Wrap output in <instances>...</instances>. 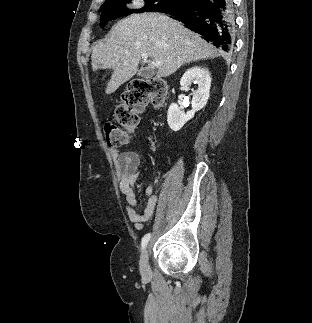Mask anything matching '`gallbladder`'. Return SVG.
Masks as SVG:
<instances>
[{"label": "gallbladder", "instance_id": "1", "mask_svg": "<svg viewBox=\"0 0 312 323\" xmlns=\"http://www.w3.org/2000/svg\"><path fill=\"white\" fill-rule=\"evenodd\" d=\"M154 74L155 70H152V68H142V70H139L137 76H142V78H152Z\"/></svg>", "mask_w": 312, "mask_h": 323}]
</instances>
